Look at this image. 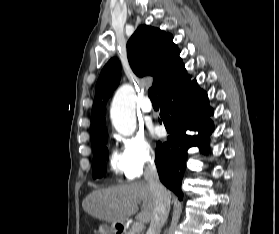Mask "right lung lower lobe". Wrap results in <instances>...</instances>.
<instances>
[{"label": "right lung lower lobe", "instance_id": "1", "mask_svg": "<svg viewBox=\"0 0 279 234\" xmlns=\"http://www.w3.org/2000/svg\"><path fill=\"white\" fill-rule=\"evenodd\" d=\"M184 69L159 93L161 104L160 123L170 134L164 143L156 146V164L161 182L182 199L181 183L185 171L187 150L198 146L207 151L209 136L213 132L210 116L213 109L208 104L206 92L196 80L186 81ZM186 130H197V136H189Z\"/></svg>", "mask_w": 279, "mask_h": 234}]
</instances>
